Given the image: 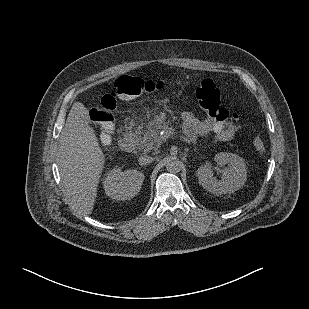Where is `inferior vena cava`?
I'll list each match as a JSON object with an SVG mask.
<instances>
[{"label": "inferior vena cava", "mask_w": 309, "mask_h": 309, "mask_svg": "<svg viewBox=\"0 0 309 309\" xmlns=\"http://www.w3.org/2000/svg\"><path fill=\"white\" fill-rule=\"evenodd\" d=\"M154 161V158L151 156L143 155L138 158L139 165L145 166Z\"/></svg>", "instance_id": "obj_1"}]
</instances>
